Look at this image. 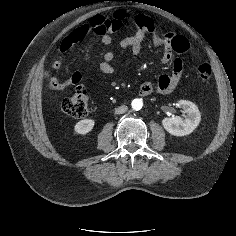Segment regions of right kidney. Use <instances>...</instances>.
Segmentation results:
<instances>
[{
	"mask_svg": "<svg viewBox=\"0 0 236 236\" xmlns=\"http://www.w3.org/2000/svg\"><path fill=\"white\" fill-rule=\"evenodd\" d=\"M95 125V121L92 119H84L76 123L74 130L76 133L85 135L89 133Z\"/></svg>",
	"mask_w": 236,
	"mask_h": 236,
	"instance_id": "right-kidney-1",
	"label": "right kidney"
}]
</instances>
